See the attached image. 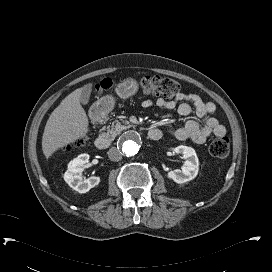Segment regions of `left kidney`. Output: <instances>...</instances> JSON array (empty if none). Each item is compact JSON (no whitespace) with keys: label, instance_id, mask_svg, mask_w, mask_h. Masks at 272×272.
Wrapping results in <instances>:
<instances>
[{"label":"left kidney","instance_id":"1","mask_svg":"<svg viewBox=\"0 0 272 272\" xmlns=\"http://www.w3.org/2000/svg\"><path fill=\"white\" fill-rule=\"evenodd\" d=\"M176 154H182L185 162L181 170L169 171L167 177L178 184L193 180L199 171V160L195 150L189 146H178L173 149Z\"/></svg>","mask_w":272,"mask_h":272}]
</instances>
